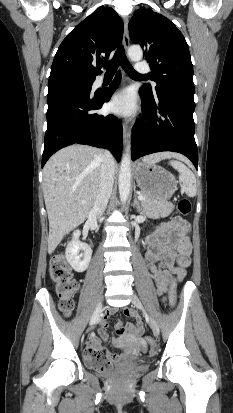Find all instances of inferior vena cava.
I'll return each mask as SVG.
<instances>
[{"mask_svg": "<svg viewBox=\"0 0 233 413\" xmlns=\"http://www.w3.org/2000/svg\"><path fill=\"white\" fill-rule=\"evenodd\" d=\"M102 155V166L99 188L95 197L93 208L91 212L100 218L106 207L108 200L112 193L114 174H115V161L110 152L105 151Z\"/></svg>", "mask_w": 233, "mask_h": 413, "instance_id": "1", "label": "inferior vena cava"}]
</instances>
